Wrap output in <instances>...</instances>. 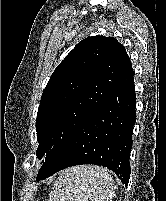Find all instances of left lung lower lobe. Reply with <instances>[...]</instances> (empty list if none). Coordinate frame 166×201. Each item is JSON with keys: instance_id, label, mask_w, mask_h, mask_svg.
I'll use <instances>...</instances> for the list:
<instances>
[{"instance_id": "0a47b994", "label": "left lung lower lobe", "mask_w": 166, "mask_h": 201, "mask_svg": "<svg viewBox=\"0 0 166 201\" xmlns=\"http://www.w3.org/2000/svg\"><path fill=\"white\" fill-rule=\"evenodd\" d=\"M134 72L124 79L101 105L41 166L37 181L70 166L95 164L117 174L126 186L130 177L129 156L136 122Z\"/></svg>"}]
</instances>
